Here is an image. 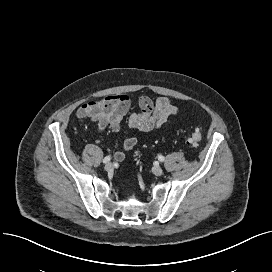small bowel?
<instances>
[{
    "mask_svg": "<svg viewBox=\"0 0 272 272\" xmlns=\"http://www.w3.org/2000/svg\"><path fill=\"white\" fill-rule=\"evenodd\" d=\"M130 98L127 95L107 96L99 101H91L82 105L77 111L78 118H90L98 122L100 129L107 125L101 124L105 118L114 130H118L121 121L127 116V125L130 129L140 132L161 130L167 127L172 118L179 113L178 107L173 100L167 96L152 100L142 96L138 100L139 110L137 113L130 112ZM136 136H129L123 143V148L114 152V158L122 161L126 153L131 151L137 144Z\"/></svg>",
    "mask_w": 272,
    "mask_h": 272,
    "instance_id": "c3829d8e",
    "label": "small bowel"
}]
</instances>
